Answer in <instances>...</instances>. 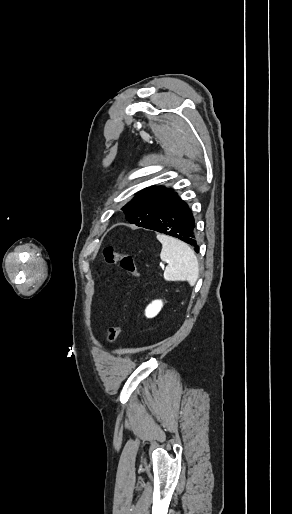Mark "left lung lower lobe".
Wrapping results in <instances>:
<instances>
[{
    "label": "left lung lower lobe",
    "mask_w": 292,
    "mask_h": 514,
    "mask_svg": "<svg viewBox=\"0 0 292 514\" xmlns=\"http://www.w3.org/2000/svg\"><path fill=\"white\" fill-rule=\"evenodd\" d=\"M145 228L179 238L193 246L195 252H199L192 211L177 193L166 202L159 216Z\"/></svg>",
    "instance_id": "obj_1"
}]
</instances>
